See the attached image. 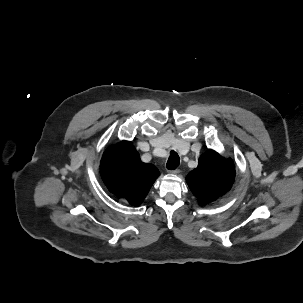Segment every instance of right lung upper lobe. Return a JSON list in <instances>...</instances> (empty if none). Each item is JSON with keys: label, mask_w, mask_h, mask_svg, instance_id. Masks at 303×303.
Returning <instances> with one entry per match:
<instances>
[{"label": "right lung upper lobe", "mask_w": 303, "mask_h": 303, "mask_svg": "<svg viewBox=\"0 0 303 303\" xmlns=\"http://www.w3.org/2000/svg\"><path fill=\"white\" fill-rule=\"evenodd\" d=\"M101 176L108 190L132 206H139L153 182L158 169L140 160L132 142L122 141L106 149L101 159Z\"/></svg>", "instance_id": "cb5924a9"}]
</instances>
